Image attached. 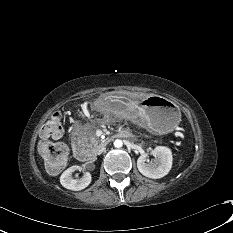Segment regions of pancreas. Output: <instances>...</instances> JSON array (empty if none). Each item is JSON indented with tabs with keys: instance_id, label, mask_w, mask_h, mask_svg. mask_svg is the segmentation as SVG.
Segmentation results:
<instances>
[{
	"instance_id": "1",
	"label": "pancreas",
	"mask_w": 233,
	"mask_h": 233,
	"mask_svg": "<svg viewBox=\"0 0 233 233\" xmlns=\"http://www.w3.org/2000/svg\"><path fill=\"white\" fill-rule=\"evenodd\" d=\"M93 142H94V145H95V146L98 144V142H97L96 139H94Z\"/></svg>"
}]
</instances>
